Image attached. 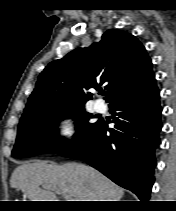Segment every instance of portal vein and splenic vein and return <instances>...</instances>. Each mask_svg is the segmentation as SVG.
I'll return each instance as SVG.
<instances>
[{
    "label": "portal vein and splenic vein",
    "instance_id": "obj_1",
    "mask_svg": "<svg viewBox=\"0 0 176 211\" xmlns=\"http://www.w3.org/2000/svg\"><path fill=\"white\" fill-rule=\"evenodd\" d=\"M55 193L61 195L65 199V201H78L77 199H74L69 196L66 192L57 190Z\"/></svg>",
    "mask_w": 176,
    "mask_h": 211
}]
</instances>
